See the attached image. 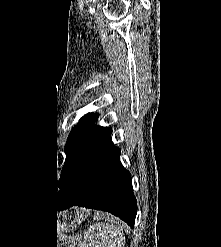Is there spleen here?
<instances>
[{
    "label": "spleen",
    "mask_w": 221,
    "mask_h": 247,
    "mask_svg": "<svg viewBox=\"0 0 221 247\" xmlns=\"http://www.w3.org/2000/svg\"><path fill=\"white\" fill-rule=\"evenodd\" d=\"M95 228L97 232H95ZM121 225L113 226L109 223H96L90 226L83 247H123L125 245V236L121 231ZM81 246V247H82Z\"/></svg>",
    "instance_id": "obj_1"
}]
</instances>
